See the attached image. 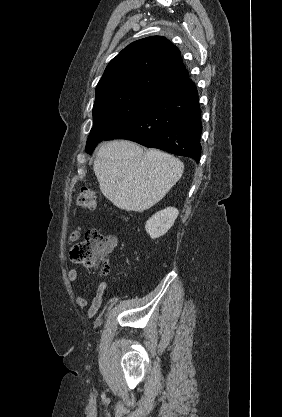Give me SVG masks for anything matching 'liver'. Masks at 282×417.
<instances>
[{"mask_svg": "<svg viewBox=\"0 0 282 417\" xmlns=\"http://www.w3.org/2000/svg\"><path fill=\"white\" fill-rule=\"evenodd\" d=\"M101 192L118 209L146 211L181 178L184 164L168 152L131 140L104 142L93 164Z\"/></svg>", "mask_w": 282, "mask_h": 417, "instance_id": "6515ba94", "label": "liver"}]
</instances>
